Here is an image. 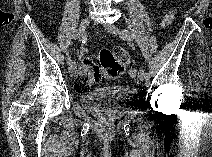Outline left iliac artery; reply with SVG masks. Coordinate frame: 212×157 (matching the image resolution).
Masks as SVG:
<instances>
[{
	"label": "left iliac artery",
	"mask_w": 212,
	"mask_h": 157,
	"mask_svg": "<svg viewBox=\"0 0 212 157\" xmlns=\"http://www.w3.org/2000/svg\"><path fill=\"white\" fill-rule=\"evenodd\" d=\"M123 40H126V41H132L133 40V36L130 34V32L128 30H123L122 31V37H121ZM144 77L145 79H150V74L148 72H145L144 73Z\"/></svg>",
	"instance_id": "left-iliac-artery-1"
}]
</instances>
